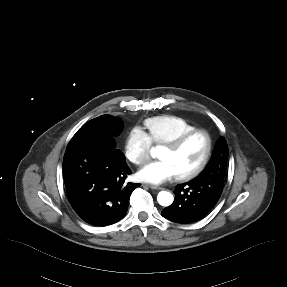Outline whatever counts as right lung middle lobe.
Segmentation results:
<instances>
[{
	"label": "right lung middle lobe",
	"mask_w": 287,
	"mask_h": 287,
	"mask_svg": "<svg viewBox=\"0 0 287 287\" xmlns=\"http://www.w3.org/2000/svg\"><path fill=\"white\" fill-rule=\"evenodd\" d=\"M121 130V119L102 115L85 123L70 140L67 148L82 144H96L104 145L107 150L116 149L113 137Z\"/></svg>",
	"instance_id": "obj_1"
}]
</instances>
